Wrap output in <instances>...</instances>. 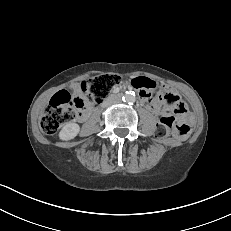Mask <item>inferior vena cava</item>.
<instances>
[{
  "label": "inferior vena cava",
  "mask_w": 231,
  "mask_h": 231,
  "mask_svg": "<svg viewBox=\"0 0 231 231\" xmlns=\"http://www.w3.org/2000/svg\"><path fill=\"white\" fill-rule=\"evenodd\" d=\"M118 101V99H115L114 97H110L105 103H104V106H109L111 105L112 103Z\"/></svg>",
  "instance_id": "602c4592"
}]
</instances>
